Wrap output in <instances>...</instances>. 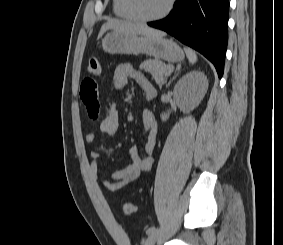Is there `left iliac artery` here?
I'll return each mask as SVG.
<instances>
[{"label": "left iliac artery", "instance_id": "left-iliac-artery-1", "mask_svg": "<svg viewBox=\"0 0 283 245\" xmlns=\"http://www.w3.org/2000/svg\"><path fill=\"white\" fill-rule=\"evenodd\" d=\"M156 231H158V228L153 226V227H150V228L147 229L146 234L147 235H151V234H153Z\"/></svg>", "mask_w": 283, "mask_h": 245}]
</instances>
